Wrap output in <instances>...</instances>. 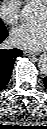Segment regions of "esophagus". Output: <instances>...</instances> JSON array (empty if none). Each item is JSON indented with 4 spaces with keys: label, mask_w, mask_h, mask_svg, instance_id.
<instances>
[{
    "label": "esophagus",
    "mask_w": 47,
    "mask_h": 129,
    "mask_svg": "<svg viewBox=\"0 0 47 129\" xmlns=\"http://www.w3.org/2000/svg\"><path fill=\"white\" fill-rule=\"evenodd\" d=\"M23 53H24L25 55H30V56H37V55H38V53H36V52H31V51H28V50H24Z\"/></svg>",
    "instance_id": "34e87169"
}]
</instances>
